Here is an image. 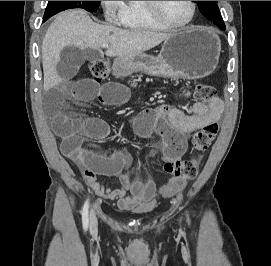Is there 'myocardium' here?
I'll return each instance as SVG.
<instances>
[{"instance_id":"myocardium-1","label":"myocardium","mask_w":271,"mask_h":266,"mask_svg":"<svg viewBox=\"0 0 271 266\" xmlns=\"http://www.w3.org/2000/svg\"><path fill=\"white\" fill-rule=\"evenodd\" d=\"M144 8L147 11V13L150 15V17L159 23L160 25L164 26L165 28L169 29H183L192 24V22L195 19L196 16V4L194 1H189L191 6V15L190 18L182 24H175L170 21H168L160 12L159 10V2L158 1H143Z\"/></svg>"}]
</instances>
